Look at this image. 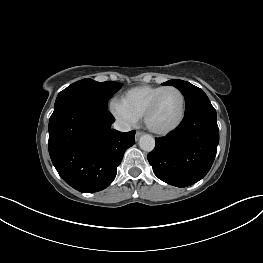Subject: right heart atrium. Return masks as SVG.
<instances>
[{
	"label": "right heart atrium",
	"mask_w": 263,
	"mask_h": 263,
	"mask_svg": "<svg viewBox=\"0 0 263 263\" xmlns=\"http://www.w3.org/2000/svg\"><path fill=\"white\" fill-rule=\"evenodd\" d=\"M110 112L115 119L125 127L134 126L138 119L135 115L130 113L120 101L113 100L110 104Z\"/></svg>",
	"instance_id": "d8ad5b80"
}]
</instances>
